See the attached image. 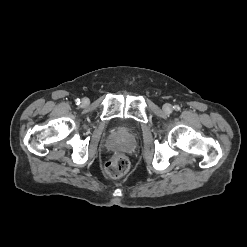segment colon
Listing matches in <instances>:
<instances>
[{
  "instance_id": "5ec220e1",
  "label": "colon",
  "mask_w": 247,
  "mask_h": 247,
  "mask_svg": "<svg viewBox=\"0 0 247 247\" xmlns=\"http://www.w3.org/2000/svg\"><path fill=\"white\" fill-rule=\"evenodd\" d=\"M129 162L122 154H114L104 165L105 173L111 178L122 177L128 170Z\"/></svg>"
}]
</instances>
